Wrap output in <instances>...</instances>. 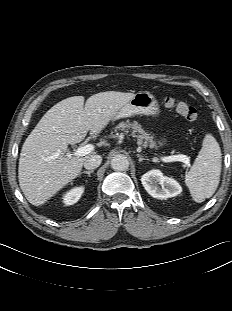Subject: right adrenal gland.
Returning a JSON list of instances; mask_svg holds the SVG:
<instances>
[{
  "label": "right adrenal gland",
  "mask_w": 232,
  "mask_h": 311,
  "mask_svg": "<svg viewBox=\"0 0 232 311\" xmlns=\"http://www.w3.org/2000/svg\"><path fill=\"white\" fill-rule=\"evenodd\" d=\"M94 172V170H89V171H83L81 172L79 175L81 174H87L89 177L91 176V174Z\"/></svg>",
  "instance_id": "1"
}]
</instances>
